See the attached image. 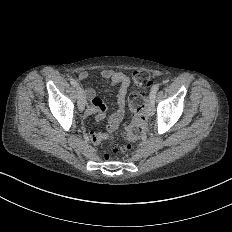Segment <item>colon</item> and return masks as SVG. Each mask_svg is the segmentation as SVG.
Here are the masks:
<instances>
[{
	"label": "colon",
	"mask_w": 232,
	"mask_h": 232,
	"mask_svg": "<svg viewBox=\"0 0 232 232\" xmlns=\"http://www.w3.org/2000/svg\"><path fill=\"white\" fill-rule=\"evenodd\" d=\"M153 71H135L131 78L138 86L145 88L152 86V81H149V76H153ZM129 102L133 107L132 122L125 129V136L131 143H138L142 140L144 131L147 127L148 120V106L139 95L132 93L128 97ZM131 149L128 146L120 147L118 149H102L99 152L100 157L105 158H119L130 154Z\"/></svg>",
	"instance_id": "5ec220e1"
}]
</instances>
